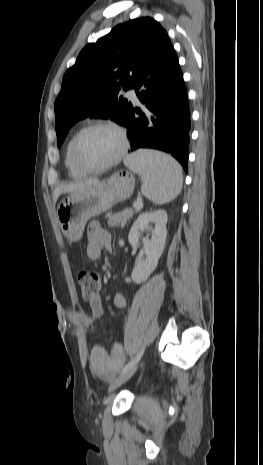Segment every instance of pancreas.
Segmentation results:
<instances>
[{"label": "pancreas", "instance_id": "obj_1", "mask_svg": "<svg viewBox=\"0 0 263 465\" xmlns=\"http://www.w3.org/2000/svg\"><path fill=\"white\" fill-rule=\"evenodd\" d=\"M137 210L133 209H126L122 212H118L113 214L108 220L109 227H124L129 221V219L133 216L134 213H137Z\"/></svg>", "mask_w": 263, "mask_h": 465}]
</instances>
